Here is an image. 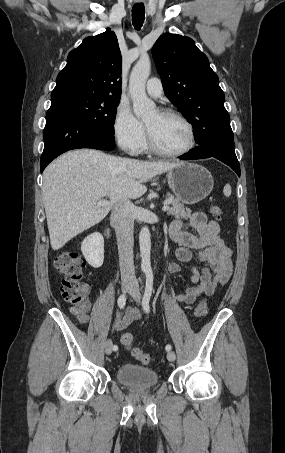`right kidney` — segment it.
I'll return each instance as SVG.
<instances>
[{"label":"right kidney","instance_id":"right-kidney-1","mask_svg":"<svg viewBox=\"0 0 285 453\" xmlns=\"http://www.w3.org/2000/svg\"><path fill=\"white\" fill-rule=\"evenodd\" d=\"M81 251L89 265L93 268L101 267L104 261L103 236L98 232L87 236L81 244Z\"/></svg>","mask_w":285,"mask_h":453}]
</instances>
